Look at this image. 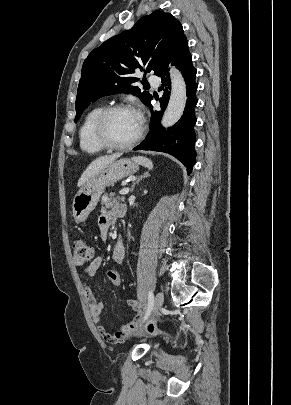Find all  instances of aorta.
Here are the masks:
<instances>
[{
	"label": "aorta",
	"instance_id": "762f6f07",
	"mask_svg": "<svg viewBox=\"0 0 291 405\" xmlns=\"http://www.w3.org/2000/svg\"><path fill=\"white\" fill-rule=\"evenodd\" d=\"M171 94L170 99L161 120V124L168 128L173 126L182 116L187 100L186 84L179 70L171 68Z\"/></svg>",
	"mask_w": 291,
	"mask_h": 405
}]
</instances>
